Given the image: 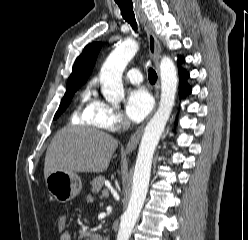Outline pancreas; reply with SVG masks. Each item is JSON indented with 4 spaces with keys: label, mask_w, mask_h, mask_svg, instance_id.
<instances>
[{
    "label": "pancreas",
    "mask_w": 248,
    "mask_h": 240,
    "mask_svg": "<svg viewBox=\"0 0 248 240\" xmlns=\"http://www.w3.org/2000/svg\"><path fill=\"white\" fill-rule=\"evenodd\" d=\"M105 178L102 176H98L96 178H94L91 182L92 188L94 193H99L103 184H104Z\"/></svg>",
    "instance_id": "1"
}]
</instances>
